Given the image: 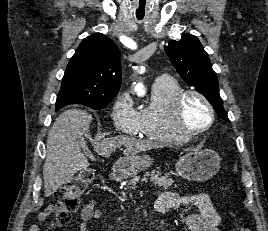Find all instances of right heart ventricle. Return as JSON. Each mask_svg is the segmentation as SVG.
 <instances>
[{"label": "right heart ventricle", "mask_w": 268, "mask_h": 231, "mask_svg": "<svg viewBox=\"0 0 268 231\" xmlns=\"http://www.w3.org/2000/svg\"><path fill=\"white\" fill-rule=\"evenodd\" d=\"M183 90L172 77H160L151 86V100L139 110L141 133L155 143H177L183 139L171 122L172 101Z\"/></svg>", "instance_id": "obj_1"}]
</instances>
